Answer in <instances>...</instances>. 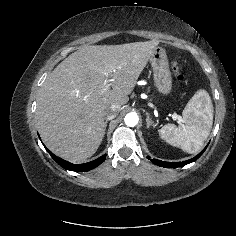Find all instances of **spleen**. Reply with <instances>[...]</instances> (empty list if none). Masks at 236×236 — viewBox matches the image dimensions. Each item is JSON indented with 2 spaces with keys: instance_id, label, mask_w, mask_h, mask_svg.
<instances>
[{
  "instance_id": "spleen-1",
  "label": "spleen",
  "mask_w": 236,
  "mask_h": 236,
  "mask_svg": "<svg viewBox=\"0 0 236 236\" xmlns=\"http://www.w3.org/2000/svg\"><path fill=\"white\" fill-rule=\"evenodd\" d=\"M182 116L180 126L167 124L159 130V135L168 144L193 154L200 150L212 128L213 106L207 91L198 90L187 103Z\"/></svg>"
}]
</instances>
